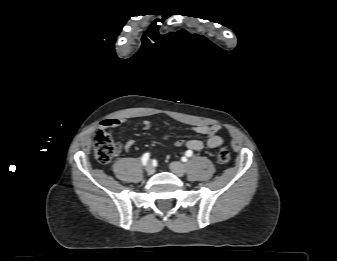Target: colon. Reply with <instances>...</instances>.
<instances>
[{"instance_id": "colon-1", "label": "colon", "mask_w": 337, "mask_h": 261, "mask_svg": "<svg viewBox=\"0 0 337 261\" xmlns=\"http://www.w3.org/2000/svg\"><path fill=\"white\" fill-rule=\"evenodd\" d=\"M117 151L113 138L107 132L99 130L94 137V156L99 163L110 162ZM219 164L225 165L230 161V153L226 148H220L216 154Z\"/></svg>"}]
</instances>
